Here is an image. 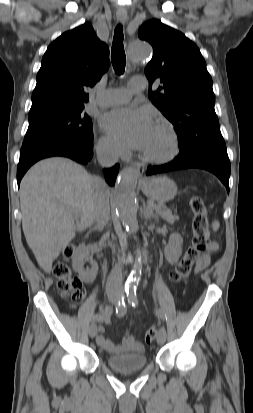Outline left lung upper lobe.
<instances>
[{
  "label": "left lung upper lobe",
  "mask_w": 253,
  "mask_h": 413,
  "mask_svg": "<svg viewBox=\"0 0 253 413\" xmlns=\"http://www.w3.org/2000/svg\"><path fill=\"white\" fill-rule=\"evenodd\" d=\"M138 36L154 51L145 68L149 99L175 126L179 145L191 149L203 139L223 138L214 110L212 79L199 48L157 19L144 23ZM159 82L161 86L151 91L152 83ZM209 125L212 129L201 138L204 133L200 129Z\"/></svg>",
  "instance_id": "1"
}]
</instances>
